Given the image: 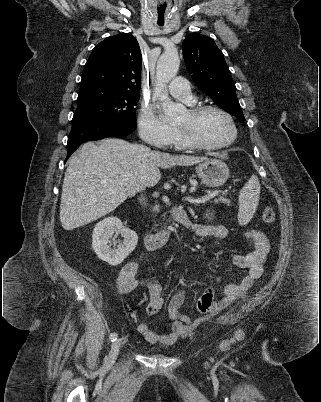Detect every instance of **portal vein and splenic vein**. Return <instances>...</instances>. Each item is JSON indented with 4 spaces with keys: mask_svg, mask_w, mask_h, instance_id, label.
Segmentation results:
<instances>
[{
    "mask_svg": "<svg viewBox=\"0 0 321 402\" xmlns=\"http://www.w3.org/2000/svg\"><path fill=\"white\" fill-rule=\"evenodd\" d=\"M112 191H116V189H114ZM218 195H219L218 191H213V192H210L207 195L199 197V198L187 197L184 200L189 202V203H203V202H206L207 200L212 199V198H214V197H216Z\"/></svg>",
    "mask_w": 321,
    "mask_h": 402,
    "instance_id": "obj_1",
    "label": "portal vein and splenic vein"
}]
</instances>
